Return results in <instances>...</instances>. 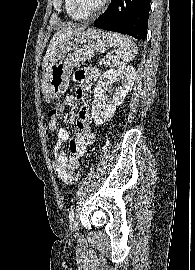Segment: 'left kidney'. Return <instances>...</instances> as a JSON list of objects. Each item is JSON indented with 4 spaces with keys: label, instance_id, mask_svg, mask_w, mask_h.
Wrapping results in <instances>:
<instances>
[{
    "label": "left kidney",
    "instance_id": "5707ae66",
    "mask_svg": "<svg viewBox=\"0 0 195 270\" xmlns=\"http://www.w3.org/2000/svg\"><path fill=\"white\" fill-rule=\"evenodd\" d=\"M136 78L135 69L132 66H120L107 70L99 78L94 88V100L92 102L91 114L97 125L104 124L116 111V107L121 105L131 91ZM115 81H121L113 93L111 104H106L105 93L111 90V85Z\"/></svg>",
    "mask_w": 195,
    "mask_h": 270
}]
</instances>
